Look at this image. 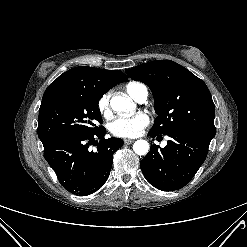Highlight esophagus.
Masks as SVG:
<instances>
[{
  "instance_id": "esophagus-1",
  "label": "esophagus",
  "mask_w": 247,
  "mask_h": 247,
  "mask_svg": "<svg viewBox=\"0 0 247 247\" xmlns=\"http://www.w3.org/2000/svg\"><path fill=\"white\" fill-rule=\"evenodd\" d=\"M133 142H134L133 139H124V143H125V144H131V143H133Z\"/></svg>"
}]
</instances>
